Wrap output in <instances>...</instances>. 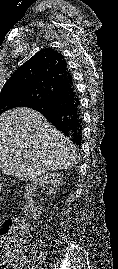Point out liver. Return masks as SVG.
I'll list each match as a JSON object with an SVG mask.
<instances>
[{
    "label": "liver",
    "instance_id": "obj_1",
    "mask_svg": "<svg viewBox=\"0 0 118 269\" xmlns=\"http://www.w3.org/2000/svg\"><path fill=\"white\" fill-rule=\"evenodd\" d=\"M75 145L39 112L15 108L0 115V168L8 176L32 181L78 161Z\"/></svg>",
    "mask_w": 118,
    "mask_h": 269
}]
</instances>
